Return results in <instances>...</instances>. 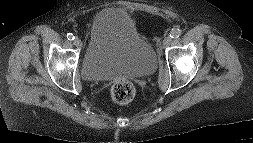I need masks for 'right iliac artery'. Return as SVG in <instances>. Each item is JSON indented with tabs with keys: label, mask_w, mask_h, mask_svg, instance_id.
<instances>
[{
	"label": "right iliac artery",
	"mask_w": 253,
	"mask_h": 143,
	"mask_svg": "<svg viewBox=\"0 0 253 143\" xmlns=\"http://www.w3.org/2000/svg\"><path fill=\"white\" fill-rule=\"evenodd\" d=\"M74 35L72 34V33H68L67 34V39L69 40V41H73L74 40Z\"/></svg>",
	"instance_id": "obj_1"
}]
</instances>
